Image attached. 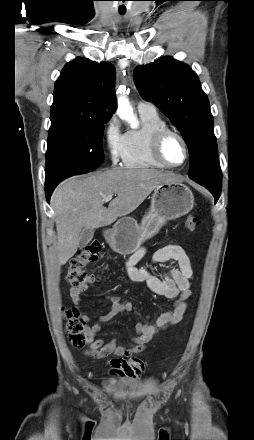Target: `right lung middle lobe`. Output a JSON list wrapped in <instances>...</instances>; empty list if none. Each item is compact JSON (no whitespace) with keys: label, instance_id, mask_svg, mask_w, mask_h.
Returning a JSON list of instances; mask_svg holds the SVG:
<instances>
[{"label":"right lung middle lobe","instance_id":"obj_1","mask_svg":"<svg viewBox=\"0 0 254 440\" xmlns=\"http://www.w3.org/2000/svg\"><path fill=\"white\" fill-rule=\"evenodd\" d=\"M107 120L72 113L51 115L45 186L91 172L103 162L102 136Z\"/></svg>","mask_w":254,"mask_h":440}]
</instances>
